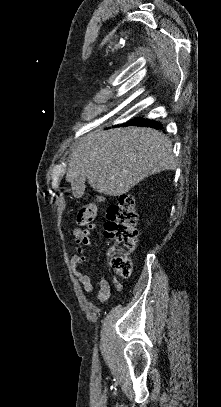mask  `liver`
Instances as JSON below:
<instances>
[{
	"mask_svg": "<svg viewBox=\"0 0 221 407\" xmlns=\"http://www.w3.org/2000/svg\"><path fill=\"white\" fill-rule=\"evenodd\" d=\"M176 168L171 141L147 127L95 131L80 139L66 172V181L88 179L95 191L121 196L144 178Z\"/></svg>",
	"mask_w": 221,
	"mask_h": 407,
	"instance_id": "liver-1",
	"label": "liver"
}]
</instances>
